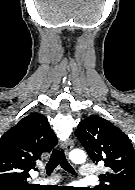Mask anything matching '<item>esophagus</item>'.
<instances>
[{"label":"esophagus","mask_w":135,"mask_h":190,"mask_svg":"<svg viewBox=\"0 0 135 190\" xmlns=\"http://www.w3.org/2000/svg\"><path fill=\"white\" fill-rule=\"evenodd\" d=\"M63 148L65 151V154L68 155L73 148V140L72 139L66 140L63 144Z\"/></svg>","instance_id":"obj_1"}]
</instances>
